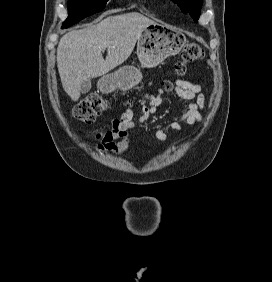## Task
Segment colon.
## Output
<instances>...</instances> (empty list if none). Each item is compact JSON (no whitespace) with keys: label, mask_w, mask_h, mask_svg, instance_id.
Returning <instances> with one entry per match:
<instances>
[{"label":"colon","mask_w":272,"mask_h":282,"mask_svg":"<svg viewBox=\"0 0 272 282\" xmlns=\"http://www.w3.org/2000/svg\"><path fill=\"white\" fill-rule=\"evenodd\" d=\"M204 57L203 49L196 43L185 41L180 55V61L175 65L174 72L177 76L186 73L187 65L196 63ZM173 80L162 82L161 88L172 91L175 88ZM108 108V102L99 94L93 93L81 100L74 108V116L84 123L93 122L101 113ZM107 134H99L100 140L106 141Z\"/></svg>","instance_id":"1"}]
</instances>
